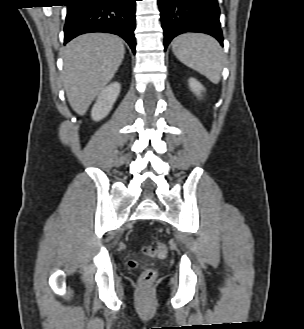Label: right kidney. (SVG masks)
<instances>
[{
	"instance_id": "ca27d5eb",
	"label": "right kidney",
	"mask_w": 304,
	"mask_h": 329,
	"mask_svg": "<svg viewBox=\"0 0 304 329\" xmlns=\"http://www.w3.org/2000/svg\"><path fill=\"white\" fill-rule=\"evenodd\" d=\"M120 93V84L111 83L105 87L98 95L96 103L92 107L91 117L95 121H99L106 117L111 111L114 102Z\"/></svg>"
}]
</instances>
